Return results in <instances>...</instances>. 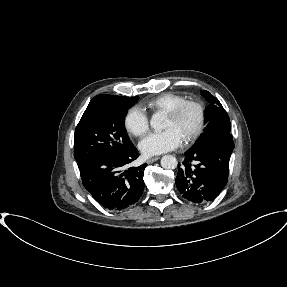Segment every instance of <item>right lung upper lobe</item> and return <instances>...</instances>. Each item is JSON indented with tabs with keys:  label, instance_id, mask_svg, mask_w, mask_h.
I'll return each instance as SVG.
<instances>
[{
	"label": "right lung upper lobe",
	"instance_id": "1",
	"mask_svg": "<svg viewBox=\"0 0 287 287\" xmlns=\"http://www.w3.org/2000/svg\"><path fill=\"white\" fill-rule=\"evenodd\" d=\"M108 96H113V95H98V96L94 97V98L90 101V103H89L87 109L85 110L84 114H85L86 112H88L96 103H98L100 100H102V99H104V98H106V97H108Z\"/></svg>",
	"mask_w": 287,
	"mask_h": 287
}]
</instances>
